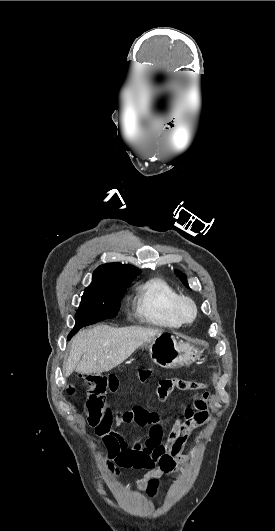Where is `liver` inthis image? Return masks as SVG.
I'll return each mask as SVG.
<instances>
[{
  "instance_id": "6515ba94",
  "label": "liver",
  "mask_w": 275,
  "mask_h": 531,
  "mask_svg": "<svg viewBox=\"0 0 275 531\" xmlns=\"http://www.w3.org/2000/svg\"><path fill=\"white\" fill-rule=\"evenodd\" d=\"M160 333L159 329H113L109 325H97L93 329L79 331L72 341L64 377H70L73 371L81 375L107 373L121 365L143 343Z\"/></svg>"
}]
</instances>
